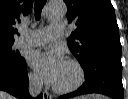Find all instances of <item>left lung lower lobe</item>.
Returning <instances> with one entry per match:
<instances>
[{"label": "left lung lower lobe", "instance_id": "left-lung-lower-lobe-1", "mask_svg": "<svg viewBox=\"0 0 128 99\" xmlns=\"http://www.w3.org/2000/svg\"><path fill=\"white\" fill-rule=\"evenodd\" d=\"M81 66L86 78L85 83L76 91L63 95L59 99L89 93H100L114 99H124L121 54L96 52Z\"/></svg>", "mask_w": 128, "mask_h": 99}]
</instances>
